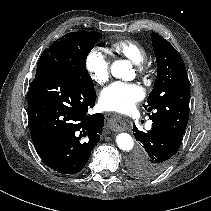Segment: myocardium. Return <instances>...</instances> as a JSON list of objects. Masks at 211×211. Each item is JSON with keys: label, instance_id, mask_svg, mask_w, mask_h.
Listing matches in <instances>:
<instances>
[{"label": "myocardium", "instance_id": "f54148a6", "mask_svg": "<svg viewBox=\"0 0 211 211\" xmlns=\"http://www.w3.org/2000/svg\"><path fill=\"white\" fill-rule=\"evenodd\" d=\"M136 65H137V70H138L139 73H141V74L147 73L148 67H147V65L144 61L140 62Z\"/></svg>", "mask_w": 211, "mask_h": 211}]
</instances>
